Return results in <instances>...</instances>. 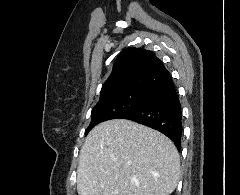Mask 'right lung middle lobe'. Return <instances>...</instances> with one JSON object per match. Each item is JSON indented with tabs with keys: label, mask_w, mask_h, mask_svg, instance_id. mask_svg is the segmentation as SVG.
Listing matches in <instances>:
<instances>
[{
	"label": "right lung middle lobe",
	"mask_w": 240,
	"mask_h": 195,
	"mask_svg": "<svg viewBox=\"0 0 240 195\" xmlns=\"http://www.w3.org/2000/svg\"><path fill=\"white\" fill-rule=\"evenodd\" d=\"M146 92L127 91L101 97L91 112V122L86 134L97 124L110 119L120 118L138 106Z\"/></svg>",
	"instance_id": "obj_1"
}]
</instances>
